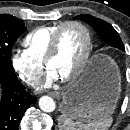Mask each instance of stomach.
<instances>
[{
  "label": "stomach",
  "instance_id": "0dacf381",
  "mask_svg": "<svg viewBox=\"0 0 130 130\" xmlns=\"http://www.w3.org/2000/svg\"><path fill=\"white\" fill-rule=\"evenodd\" d=\"M120 93L121 75L117 64L109 57L99 56L62 93L60 111L76 121H98L112 115Z\"/></svg>",
  "mask_w": 130,
  "mask_h": 130
}]
</instances>
